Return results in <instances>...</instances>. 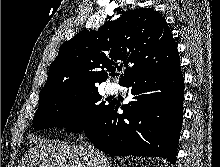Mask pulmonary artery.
I'll use <instances>...</instances> for the list:
<instances>
[{
    "label": "pulmonary artery",
    "mask_w": 220,
    "mask_h": 167,
    "mask_svg": "<svg viewBox=\"0 0 220 167\" xmlns=\"http://www.w3.org/2000/svg\"><path fill=\"white\" fill-rule=\"evenodd\" d=\"M107 91H108L110 94L114 93V92H115L114 86L108 85V86H107Z\"/></svg>",
    "instance_id": "pulmonary-artery-1"
}]
</instances>
